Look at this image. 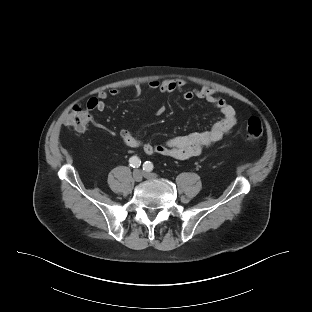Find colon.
<instances>
[{
  "label": "colon",
  "instance_id": "obj_1",
  "mask_svg": "<svg viewBox=\"0 0 312 312\" xmlns=\"http://www.w3.org/2000/svg\"><path fill=\"white\" fill-rule=\"evenodd\" d=\"M89 122V113L82 106L76 105L71 108L65 119V125L77 130L83 131ZM263 133V125L260 118L251 117L246 125L245 137L248 141L258 139Z\"/></svg>",
  "mask_w": 312,
  "mask_h": 312
}]
</instances>
